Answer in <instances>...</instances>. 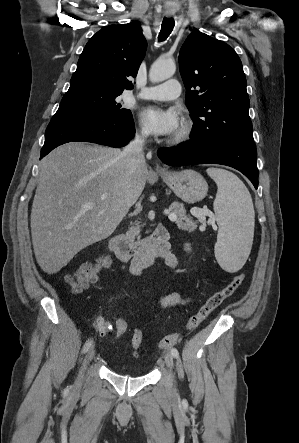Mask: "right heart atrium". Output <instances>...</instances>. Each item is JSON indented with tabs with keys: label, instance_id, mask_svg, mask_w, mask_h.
Wrapping results in <instances>:
<instances>
[{
	"label": "right heart atrium",
	"instance_id": "d8ad5b80",
	"mask_svg": "<svg viewBox=\"0 0 299 443\" xmlns=\"http://www.w3.org/2000/svg\"><path fill=\"white\" fill-rule=\"evenodd\" d=\"M137 136L141 139H145L148 136V133L145 129H140L137 131Z\"/></svg>",
	"mask_w": 299,
	"mask_h": 443
}]
</instances>
